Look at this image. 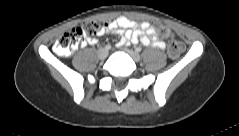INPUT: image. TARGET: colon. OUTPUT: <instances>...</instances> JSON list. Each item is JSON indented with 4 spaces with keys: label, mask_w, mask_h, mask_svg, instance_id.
<instances>
[{
    "label": "colon",
    "mask_w": 239,
    "mask_h": 136,
    "mask_svg": "<svg viewBox=\"0 0 239 136\" xmlns=\"http://www.w3.org/2000/svg\"><path fill=\"white\" fill-rule=\"evenodd\" d=\"M104 28V24L97 20L85 21L81 26L75 27L63 33L55 42L54 50L60 56H67L77 49L82 36L94 38ZM160 34L168 37V54L172 58H177L184 50L182 42L172 38L169 29L159 26Z\"/></svg>",
    "instance_id": "colon-1"
}]
</instances>
